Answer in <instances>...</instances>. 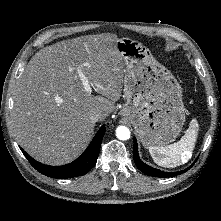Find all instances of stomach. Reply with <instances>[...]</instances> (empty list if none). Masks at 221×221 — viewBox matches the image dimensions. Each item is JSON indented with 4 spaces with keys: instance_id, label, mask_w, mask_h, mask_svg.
Returning a JSON list of instances; mask_svg holds the SVG:
<instances>
[{
    "instance_id": "obj_1",
    "label": "stomach",
    "mask_w": 221,
    "mask_h": 221,
    "mask_svg": "<svg viewBox=\"0 0 221 221\" xmlns=\"http://www.w3.org/2000/svg\"><path fill=\"white\" fill-rule=\"evenodd\" d=\"M115 47L124 64L126 103L121 115L133 125L145 147L173 142L185 122L178 81L141 43L121 38Z\"/></svg>"
}]
</instances>
